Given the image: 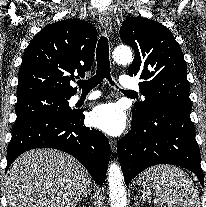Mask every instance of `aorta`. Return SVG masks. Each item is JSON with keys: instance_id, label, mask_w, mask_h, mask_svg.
<instances>
[{"instance_id": "obj_1", "label": "aorta", "mask_w": 206, "mask_h": 207, "mask_svg": "<svg viewBox=\"0 0 206 207\" xmlns=\"http://www.w3.org/2000/svg\"><path fill=\"white\" fill-rule=\"evenodd\" d=\"M113 59L118 64H128L132 61L129 47L120 46L113 52ZM109 196L111 207H126V190L122 171L116 163H111L108 168Z\"/></svg>"}]
</instances>
